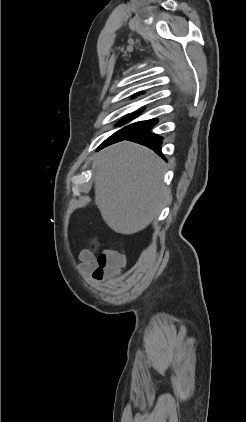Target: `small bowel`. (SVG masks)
<instances>
[{
	"instance_id": "1",
	"label": "small bowel",
	"mask_w": 246,
	"mask_h": 422,
	"mask_svg": "<svg viewBox=\"0 0 246 422\" xmlns=\"http://www.w3.org/2000/svg\"><path fill=\"white\" fill-rule=\"evenodd\" d=\"M79 258L81 261V264H80L81 271L85 274L92 272V275H93V272L97 266V263L93 255L90 252L83 250L80 252ZM96 280H99V279H96Z\"/></svg>"
}]
</instances>
